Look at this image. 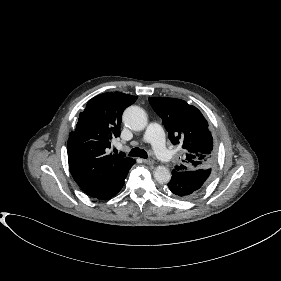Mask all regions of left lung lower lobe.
I'll return each instance as SVG.
<instances>
[{
  "instance_id": "0a47b994",
  "label": "left lung lower lobe",
  "mask_w": 281,
  "mask_h": 281,
  "mask_svg": "<svg viewBox=\"0 0 281 281\" xmlns=\"http://www.w3.org/2000/svg\"><path fill=\"white\" fill-rule=\"evenodd\" d=\"M210 176L211 169L172 171L168 191L182 199L192 198L206 186Z\"/></svg>"
}]
</instances>
